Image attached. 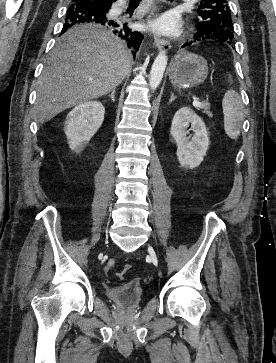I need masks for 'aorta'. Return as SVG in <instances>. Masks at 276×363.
<instances>
[{
    "label": "aorta",
    "mask_w": 276,
    "mask_h": 363,
    "mask_svg": "<svg viewBox=\"0 0 276 363\" xmlns=\"http://www.w3.org/2000/svg\"><path fill=\"white\" fill-rule=\"evenodd\" d=\"M167 61L166 52L162 50L155 58L150 71L149 85L151 90H156L160 85L167 66Z\"/></svg>",
    "instance_id": "obj_1"
}]
</instances>
